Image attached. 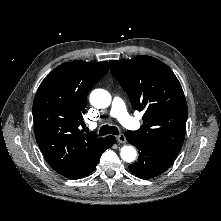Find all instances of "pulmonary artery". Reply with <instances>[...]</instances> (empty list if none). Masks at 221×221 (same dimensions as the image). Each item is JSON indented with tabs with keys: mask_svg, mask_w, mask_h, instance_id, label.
<instances>
[{
	"mask_svg": "<svg viewBox=\"0 0 221 221\" xmlns=\"http://www.w3.org/2000/svg\"><path fill=\"white\" fill-rule=\"evenodd\" d=\"M110 115L129 129H138L139 127L138 122L128 114L123 100L119 97L113 99Z\"/></svg>",
	"mask_w": 221,
	"mask_h": 221,
	"instance_id": "pulmonary-artery-1",
	"label": "pulmonary artery"
}]
</instances>
